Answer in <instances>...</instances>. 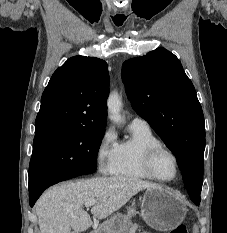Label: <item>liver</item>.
I'll list each match as a JSON object with an SVG mask.
<instances>
[{"label":"liver","mask_w":227,"mask_h":233,"mask_svg":"<svg viewBox=\"0 0 227 233\" xmlns=\"http://www.w3.org/2000/svg\"><path fill=\"white\" fill-rule=\"evenodd\" d=\"M158 187L156 184L122 176L57 185L46 191L36 203L40 231L80 233L92 225L90 215L83 209L86 202L95 201L91 213L98 219H104L119 210L138 192Z\"/></svg>","instance_id":"6515ba94"}]
</instances>
